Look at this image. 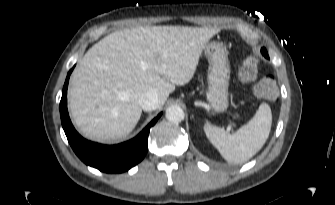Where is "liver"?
I'll list each match as a JSON object with an SVG mask.
<instances>
[{"mask_svg":"<svg viewBox=\"0 0 335 205\" xmlns=\"http://www.w3.org/2000/svg\"><path fill=\"white\" fill-rule=\"evenodd\" d=\"M208 27L139 26L113 32L94 44L75 68L68 106L88 139L113 142L137 125L140 96L155 90L162 107L175 85L193 78L208 41Z\"/></svg>","mask_w":335,"mask_h":205,"instance_id":"6515ba94","label":"liver"}]
</instances>
